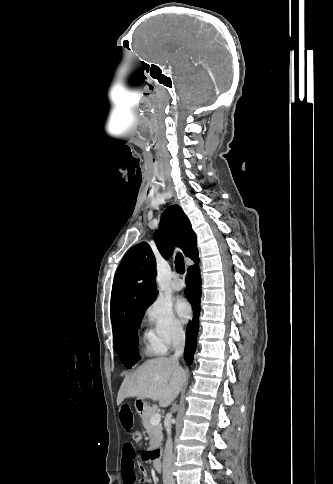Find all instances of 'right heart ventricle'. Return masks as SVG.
Instances as JSON below:
<instances>
[{
	"label": "right heart ventricle",
	"instance_id": "1",
	"mask_svg": "<svg viewBox=\"0 0 333 484\" xmlns=\"http://www.w3.org/2000/svg\"><path fill=\"white\" fill-rule=\"evenodd\" d=\"M150 350H153L150 346H149Z\"/></svg>",
	"mask_w": 333,
	"mask_h": 484
}]
</instances>
